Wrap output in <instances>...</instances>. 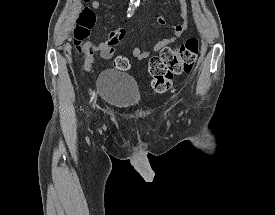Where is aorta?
<instances>
[{"label":"aorta","mask_w":275,"mask_h":215,"mask_svg":"<svg viewBox=\"0 0 275 215\" xmlns=\"http://www.w3.org/2000/svg\"><path fill=\"white\" fill-rule=\"evenodd\" d=\"M130 2L134 5H138L140 0H130Z\"/></svg>","instance_id":"1"}]
</instances>
